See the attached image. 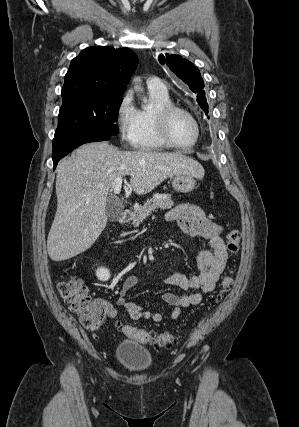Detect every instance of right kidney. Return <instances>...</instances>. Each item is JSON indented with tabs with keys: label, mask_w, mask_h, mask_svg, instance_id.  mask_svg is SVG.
Returning <instances> with one entry per match:
<instances>
[{
	"label": "right kidney",
	"mask_w": 299,
	"mask_h": 427,
	"mask_svg": "<svg viewBox=\"0 0 299 427\" xmlns=\"http://www.w3.org/2000/svg\"><path fill=\"white\" fill-rule=\"evenodd\" d=\"M96 276L100 281H108L111 275L107 268L101 267L97 269Z\"/></svg>",
	"instance_id": "1"
}]
</instances>
